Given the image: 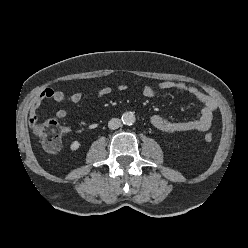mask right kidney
I'll return each mask as SVG.
<instances>
[{"mask_svg":"<svg viewBox=\"0 0 248 248\" xmlns=\"http://www.w3.org/2000/svg\"><path fill=\"white\" fill-rule=\"evenodd\" d=\"M79 146H80V143H79L78 141H73V142L71 143V145H70V149H71L72 151H75V150H77V149L79 148Z\"/></svg>","mask_w":248,"mask_h":248,"instance_id":"obj_1","label":"right kidney"}]
</instances>
